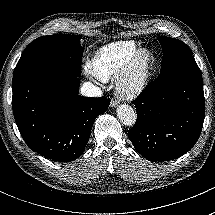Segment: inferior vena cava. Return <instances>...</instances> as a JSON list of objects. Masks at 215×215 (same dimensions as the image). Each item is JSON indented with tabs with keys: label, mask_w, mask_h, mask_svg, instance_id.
<instances>
[{
	"label": "inferior vena cava",
	"mask_w": 215,
	"mask_h": 215,
	"mask_svg": "<svg viewBox=\"0 0 215 215\" xmlns=\"http://www.w3.org/2000/svg\"><path fill=\"white\" fill-rule=\"evenodd\" d=\"M81 95L85 97L99 98L102 96V91L93 82H85L80 89Z\"/></svg>",
	"instance_id": "1"
}]
</instances>
